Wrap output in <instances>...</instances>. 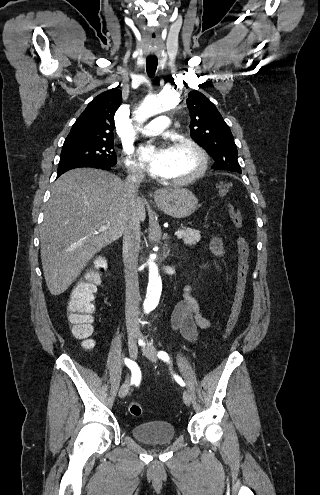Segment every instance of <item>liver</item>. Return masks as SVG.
I'll return each instance as SVG.
<instances>
[{
  "label": "liver",
  "mask_w": 320,
  "mask_h": 495,
  "mask_svg": "<svg viewBox=\"0 0 320 495\" xmlns=\"http://www.w3.org/2000/svg\"><path fill=\"white\" fill-rule=\"evenodd\" d=\"M132 205L144 221L143 199ZM128 208L125 183L111 173L77 168L56 180L40 230L42 268L52 295L65 292L96 253L123 235Z\"/></svg>",
  "instance_id": "6515ba94"
}]
</instances>
